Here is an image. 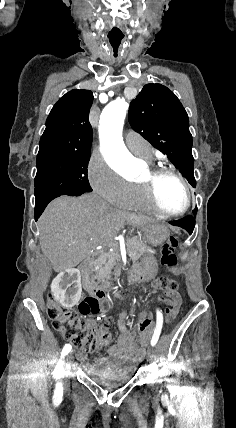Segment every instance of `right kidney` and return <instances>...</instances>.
Returning a JSON list of instances; mask_svg holds the SVG:
<instances>
[{
  "label": "right kidney",
  "mask_w": 236,
  "mask_h": 428,
  "mask_svg": "<svg viewBox=\"0 0 236 428\" xmlns=\"http://www.w3.org/2000/svg\"><path fill=\"white\" fill-rule=\"evenodd\" d=\"M65 278H69L66 280ZM51 290L53 292L54 300H59L62 306L70 308L78 304L81 298V276L77 269H62L57 277L53 278ZM76 288V290H75ZM75 292H67L74 291Z\"/></svg>",
  "instance_id": "right-kidney-1"
}]
</instances>
